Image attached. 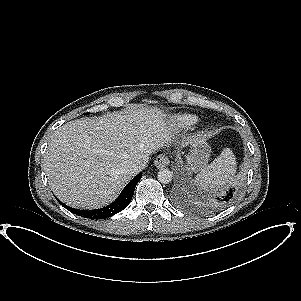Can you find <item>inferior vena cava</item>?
Segmentation results:
<instances>
[{
  "instance_id": "inferior-vena-cava-1",
  "label": "inferior vena cava",
  "mask_w": 301,
  "mask_h": 301,
  "mask_svg": "<svg viewBox=\"0 0 301 301\" xmlns=\"http://www.w3.org/2000/svg\"><path fill=\"white\" fill-rule=\"evenodd\" d=\"M147 163H148V159L137 161L131 166V171L137 174L147 167Z\"/></svg>"
}]
</instances>
